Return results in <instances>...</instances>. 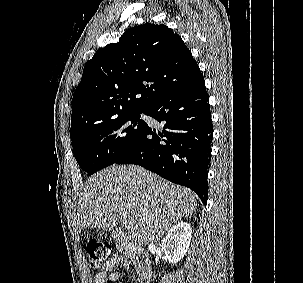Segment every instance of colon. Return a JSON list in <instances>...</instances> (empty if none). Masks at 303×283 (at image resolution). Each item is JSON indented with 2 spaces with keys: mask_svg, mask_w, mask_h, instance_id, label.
<instances>
[{
  "mask_svg": "<svg viewBox=\"0 0 303 283\" xmlns=\"http://www.w3.org/2000/svg\"><path fill=\"white\" fill-rule=\"evenodd\" d=\"M88 264L93 270H102L104 264L111 258L113 248L108 241L90 239L84 244Z\"/></svg>",
  "mask_w": 303,
  "mask_h": 283,
  "instance_id": "5ec220e1",
  "label": "colon"
}]
</instances>
